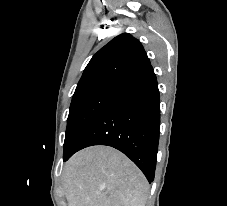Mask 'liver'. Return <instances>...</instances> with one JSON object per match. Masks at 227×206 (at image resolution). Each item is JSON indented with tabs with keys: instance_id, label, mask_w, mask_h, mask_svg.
I'll return each mask as SVG.
<instances>
[{
	"instance_id": "6515ba94",
	"label": "liver",
	"mask_w": 227,
	"mask_h": 206,
	"mask_svg": "<svg viewBox=\"0 0 227 206\" xmlns=\"http://www.w3.org/2000/svg\"><path fill=\"white\" fill-rule=\"evenodd\" d=\"M68 206H145L149 185L138 167L118 150L93 146L64 167Z\"/></svg>"
}]
</instances>
